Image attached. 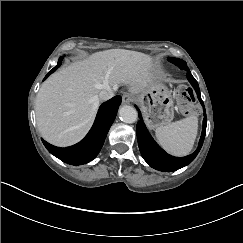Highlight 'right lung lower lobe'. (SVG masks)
<instances>
[{"instance_id":"obj_1","label":"right lung lower lobe","mask_w":243,"mask_h":243,"mask_svg":"<svg viewBox=\"0 0 243 243\" xmlns=\"http://www.w3.org/2000/svg\"><path fill=\"white\" fill-rule=\"evenodd\" d=\"M121 100V96H115L100 106L91 130L79 143L60 148L42 139L43 144L51 154L65 163L71 165L88 163L100 152L109 128L116 117Z\"/></svg>"}]
</instances>
